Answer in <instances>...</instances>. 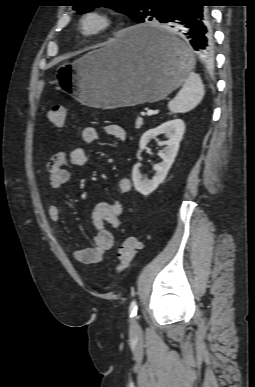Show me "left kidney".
<instances>
[{
    "mask_svg": "<svg viewBox=\"0 0 255 387\" xmlns=\"http://www.w3.org/2000/svg\"><path fill=\"white\" fill-rule=\"evenodd\" d=\"M185 132V124L182 119L167 121L160 126L146 131L140 140L137 158L150 140L160 134H165L166 141H159V146H165L158 155L162 161L154 165L155 176L151 180L144 179L139 170V165L135 164L132 170V180L135 189L144 196L152 193L161 184L167 176V173L173 164L179 150V144Z\"/></svg>",
    "mask_w": 255,
    "mask_h": 387,
    "instance_id": "1",
    "label": "left kidney"
}]
</instances>
